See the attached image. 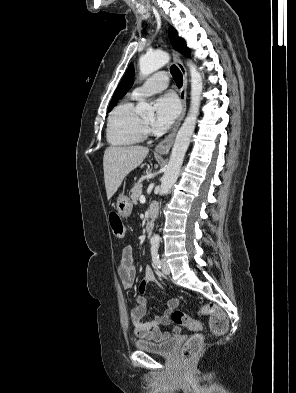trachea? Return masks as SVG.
Wrapping results in <instances>:
<instances>
[{"instance_id":"1","label":"trachea","mask_w":296,"mask_h":393,"mask_svg":"<svg viewBox=\"0 0 296 393\" xmlns=\"http://www.w3.org/2000/svg\"><path fill=\"white\" fill-rule=\"evenodd\" d=\"M170 69H171V74L173 76V79H174L176 85L181 87L183 84V76H182L181 71L175 65H172Z\"/></svg>"}]
</instances>
